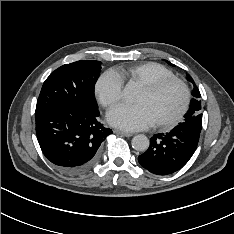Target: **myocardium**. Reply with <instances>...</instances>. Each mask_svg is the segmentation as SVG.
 I'll use <instances>...</instances> for the list:
<instances>
[{
    "label": "myocardium",
    "instance_id": "obj_1",
    "mask_svg": "<svg viewBox=\"0 0 234 234\" xmlns=\"http://www.w3.org/2000/svg\"><path fill=\"white\" fill-rule=\"evenodd\" d=\"M169 85H177L181 88L182 94H183L182 103L174 115H172L171 117L163 121L153 123V126L156 128H160V129L170 128L180 121V119L186 113L189 103H190L189 88L182 80L176 77L164 78V79L155 81L153 83L140 86L141 90L144 93H146L147 95H153Z\"/></svg>",
    "mask_w": 234,
    "mask_h": 234
}]
</instances>
